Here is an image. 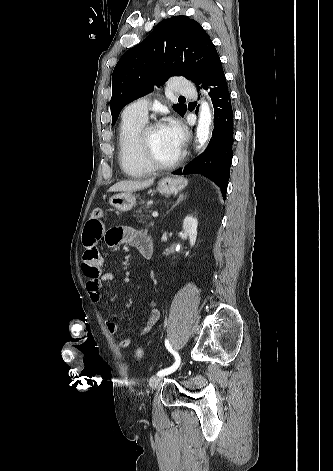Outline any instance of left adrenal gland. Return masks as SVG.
Wrapping results in <instances>:
<instances>
[{
	"mask_svg": "<svg viewBox=\"0 0 333 471\" xmlns=\"http://www.w3.org/2000/svg\"><path fill=\"white\" fill-rule=\"evenodd\" d=\"M186 198V195L184 194H180L177 198V201L173 204V206L171 207V209L169 211H171L175 206H177L180 202H182L184 199ZM169 211L166 212V214L169 213Z\"/></svg>",
	"mask_w": 333,
	"mask_h": 471,
	"instance_id": "left-adrenal-gland-1",
	"label": "left adrenal gland"
}]
</instances>
